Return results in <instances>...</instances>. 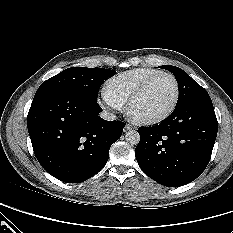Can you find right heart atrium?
<instances>
[{
    "label": "right heart atrium",
    "instance_id": "d8ad5b80",
    "mask_svg": "<svg viewBox=\"0 0 233 233\" xmlns=\"http://www.w3.org/2000/svg\"><path fill=\"white\" fill-rule=\"evenodd\" d=\"M101 102L102 105L107 109L112 110H122L123 104L120 103L117 99H115L111 93L106 89V87H103L101 90Z\"/></svg>",
    "mask_w": 233,
    "mask_h": 233
}]
</instances>
